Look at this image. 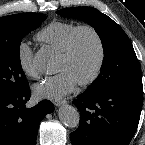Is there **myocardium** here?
I'll return each mask as SVG.
<instances>
[{
	"label": "myocardium",
	"instance_id": "obj_1",
	"mask_svg": "<svg viewBox=\"0 0 145 145\" xmlns=\"http://www.w3.org/2000/svg\"><path fill=\"white\" fill-rule=\"evenodd\" d=\"M82 32H89L94 37L98 49V59L93 72L89 77L78 82L81 86H88L98 79L106 59L105 44L99 31L91 25H79L70 36L64 50L61 52V56L65 59H69L73 56L78 37Z\"/></svg>",
	"mask_w": 145,
	"mask_h": 145
}]
</instances>
